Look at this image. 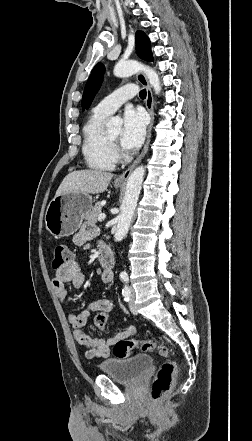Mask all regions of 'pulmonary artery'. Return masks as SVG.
<instances>
[{
    "instance_id": "pulmonary-artery-1",
    "label": "pulmonary artery",
    "mask_w": 252,
    "mask_h": 441,
    "mask_svg": "<svg viewBox=\"0 0 252 441\" xmlns=\"http://www.w3.org/2000/svg\"><path fill=\"white\" fill-rule=\"evenodd\" d=\"M138 92L134 84L124 85L104 98L94 110L104 115L114 113L123 103L133 98Z\"/></svg>"
}]
</instances>
